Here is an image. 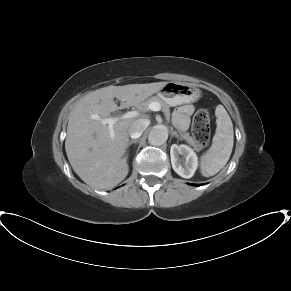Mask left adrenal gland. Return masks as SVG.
<instances>
[{
    "label": "left adrenal gland",
    "mask_w": 291,
    "mask_h": 291,
    "mask_svg": "<svg viewBox=\"0 0 291 291\" xmlns=\"http://www.w3.org/2000/svg\"><path fill=\"white\" fill-rule=\"evenodd\" d=\"M172 135L175 136V137H177L178 139H181V138L179 137V135H178L175 131L172 132Z\"/></svg>",
    "instance_id": "1"
}]
</instances>
